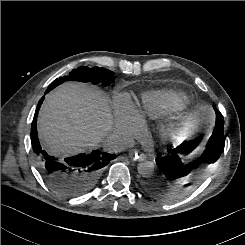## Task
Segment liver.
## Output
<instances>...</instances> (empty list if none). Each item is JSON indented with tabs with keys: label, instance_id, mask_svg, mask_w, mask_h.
<instances>
[{
	"label": "liver",
	"instance_id": "liver-1",
	"mask_svg": "<svg viewBox=\"0 0 245 245\" xmlns=\"http://www.w3.org/2000/svg\"><path fill=\"white\" fill-rule=\"evenodd\" d=\"M106 96L88 85L66 83L47 95L40 110L42 145L65 157L95 147L111 129Z\"/></svg>",
	"mask_w": 245,
	"mask_h": 245
}]
</instances>
